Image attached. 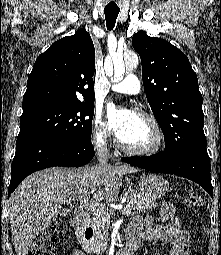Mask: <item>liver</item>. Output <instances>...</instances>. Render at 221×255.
Wrapping results in <instances>:
<instances>
[{
	"label": "liver",
	"instance_id": "6515ba94",
	"mask_svg": "<svg viewBox=\"0 0 221 255\" xmlns=\"http://www.w3.org/2000/svg\"><path fill=\"white\" fill-rule=\"evenodd\" d=\"M137 172L128 165L48 168L28 176L10 196V225L16 255H27L33 240L59 214L62 204L89 199L112 202L123 175ZM91 190V191H90Z\"/></svg>",
	"mask_w": 221,
	"mask_h": 255
}]
</instances>
